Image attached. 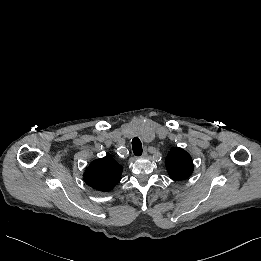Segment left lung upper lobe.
<instances>
[{
  "label": "left lung upper lobe",
  "instance_id": "obj_1",
  "mask_svg": "<svg viewBox=\"0 0 261 261\" xmlns=\"http://www.w3.org/2000/svg\"><path fill=\"white\" fill-rule=\"evenodd\" d=\"M169 176L176 181L188 178L193 172L192 158L185 150L172 148L166 157Z\"/></svg>",
  "mask_w": 261,
  "mask_h": 261
}]
</instances>
